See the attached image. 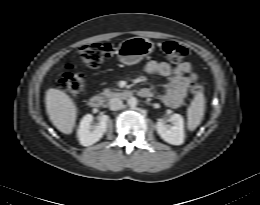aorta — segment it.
Returning <instances> with one entry per match:
<instances>
[{
	"mask_svg": "<svg viewBox=\"0 0 260 205\" xmlns=\"http://www.w3.org/2000/svg\"><path fill=\"white\" fill-rule=\"evenodd\" d=\"M127 103L130 107H136L137 106V99L135 97H130L128 99Z\"/></svg>",
	"mask_w": 260,
	"mask_h": 205,
	"instance_id": "1",
	"label": "aorta"
}]
</instances>
